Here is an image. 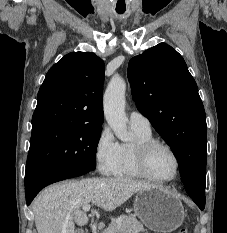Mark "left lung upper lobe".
<instances>
[{"instance_id":"left-lung-upper-lobe-1","label":"left lung upper lobe","mask_w":227,"mask_h":233,"mask_svg":"<svg viewBox=\"0 0 227 233\" xmlns=\"http://www.w3.org/2000/svg\"><path fill=\"white\" fill-rule=\"evenodd\" d=\"M127 76L138 110L177 158L187 193L205 199L206 115L184 59L160 43L133 57Z\"/></svg>"}]
</instances>
